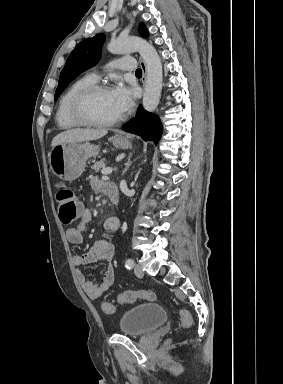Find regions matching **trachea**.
Wrapping results in <instances>:
<instances>
[{"mask_svg": "<svg viewBox=\"0 0 283 384\" xmlns=\"http://www.w3.org/2000/svg\"><path fill=\"white\" fill-rule=\"evenodd\" d=\"M136 75H142V70L141 68H138L135 72Z\"/></svg>", "mask_w": 283, "mask_h": 384, "instance_id": "trachea-1", "label": "trachea"}]
</instances>
